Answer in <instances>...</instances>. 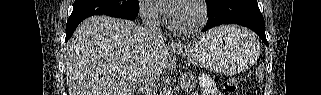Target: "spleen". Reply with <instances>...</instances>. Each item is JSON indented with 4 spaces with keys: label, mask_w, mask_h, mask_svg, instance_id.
Listing matches in <instances>:
<instances>
[{
    "label": "spleen",
    "mask_w": 321,
    "mask_h": 95,
    "mask_svg": "<svg viewBox=\"0 0 321 95\" xmlns=\"http://www.w3.org/2000/svg\"><path fill=\"white\" fill-rule=\"evenodd\" d=\"M256 77L258 78V80L262 81L264 78V70L262 66H259L258 68V72L256 73Z\"/></svg>",
    "instance_id": "obj_1"
}]
</instances>
